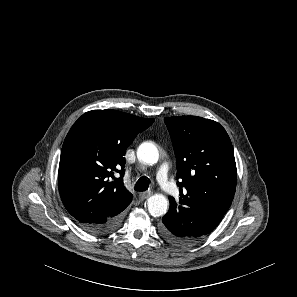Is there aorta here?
Listing matches in <instances>:
<instances>
[{
  "mask_svg": "<svg viewBox=\"0 0 297 297\" xmlns=\"http://www.w3.org/2000/svg\"><path fill=\"white\" fill-rule=\"evenodd\" d=\"M137 156L141 162L153 165L159 159V152L154 144L144 142L138 147ZM147 207L150 215L160 217L166 214L168 201L162 194H155L148 198Z\"/></svg>",
  "mask_w": 297,
  "mask_h": 297,
  "instance_id": "1",
  "label": "aorta"
}]
</instances>
